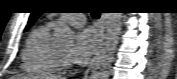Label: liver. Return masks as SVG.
<instances>
[{
	"instance_id": "1",
	"label": "liver",
	"mask_w": 177,
	"mask_h": 79,
	"mask_svg": "<svg viewBox=\"0 0 177 79\" xmlns=\"http://www.w3.org/2000/svg\"><path fill=\"white\" fill-rule=\"evenodd\" d=\"M61 79L57 76H29V75H17L13 76L12 79Z\"/></svg>"
}]
</instances>
